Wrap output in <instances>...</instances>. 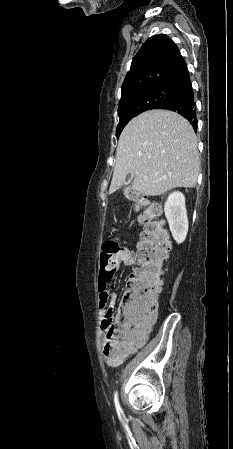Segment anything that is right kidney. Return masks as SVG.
<instances>
[{
  "label": "right kidney",
  "mask_w": 233,
  "mask_h": 449,
  "mask_svg": "<svg viewBox=\"0 0 233 449\" xmlns=\"http://www.w3.org/2000/svg\"><path fill=\"white\" fill-rule=\"evenodd\" d=\"M164 212L174 240L178 244L184 242L188 232V218L184 195L178 191L171 193L165 203Z\"/></svg>",
  "instance_id": "1"
}]
</instances>
